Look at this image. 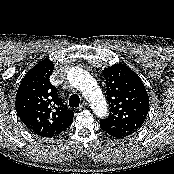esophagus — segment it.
I'll list each match as a JSON object with an SVG mask.
<instances>
[{"mask_svg":"<svg viewBox=\"0 0 174 174\" xmlns=\"http://www.w3.org/2000/svg\"><path fill=\"white\" fill-rule=\"evenodd\" d=\"M87 106V102L83 101L79 107V110L84 109Z\"/></svg>","mask_w":174,"mask_h":174,"instance_id":"esophagus-1","label":"esophagus"}]
</instances>
